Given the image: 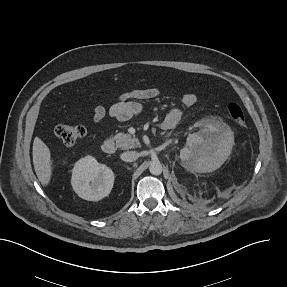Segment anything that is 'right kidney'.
Wrapping results in <instances>:
<instances>
[{"instance_id": "right-kidney-1", "label": "right kidney", "mask_w": 287, "mask_h": 287, "mask_svg": "<svg viewBox=\"0 0 287 287\" xmlns=\"http://www.w3.org/2000/svg\"><path fill=\"white\" fill-rule=\"evenodd\" d=\"M71 184L79 197L99 201L108 196L113 188L114 173L92 156L80 159L72 169Z\"/></svg>"}]
</instances>
